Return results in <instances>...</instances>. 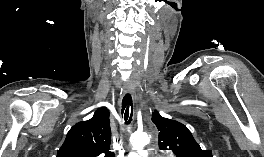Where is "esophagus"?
I'll use <instances>...</instances> for the list:
<instances>
[{
  "mask_svg": "<svg viewBox=\"0 0 264 157\" xmlns=\"http://www.w3.org/2000/svg\"><path fill=\"white\" fill-rule=\"evenodd\" d=\"M125 92H126V93H129V92H130V90H129V89H125Z\"/></svg>",
  "mask_w": 264,
  "mask_h": 157,
  "instance_id": "1",
  "label": "esophagus"
}]
</instances>
